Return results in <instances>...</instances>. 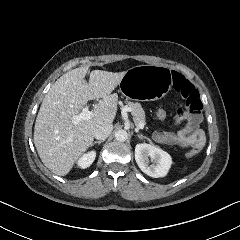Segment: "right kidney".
Here are the masks:
<instances>
[{
	"mask_svg": "<svg viewBox=\"0 0 240 240\" xmlns=\"http://www.w3.org/2000/svg\"><path fill=\"white\" fill-rule=\"evenodd\" d=\"M97 150L91 149L88 152L83 153L76 159L75 165L78 169L89 168L96 158Z\"/></svg>",
	"mask_w": 240,
	"mask_h": 240,
	"instance_id": "right-kidney-1",
	"label": "right kidney"
}]
</instances>
